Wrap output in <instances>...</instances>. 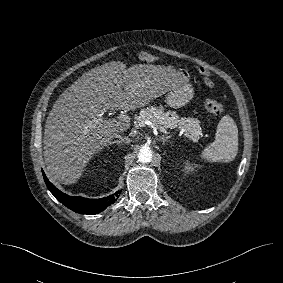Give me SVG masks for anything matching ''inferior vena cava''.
<instances>
[{"instance_id":"obj_1","label":"inferior vena cava","mask_w":283,"mask_h":283,"mask_svg":"<svg viewBox=\"0 0 283 283\" xmlns=\"http://www.w3.org/2000/svg\"><path fill=\"white\" fill-rule=\"evenodd\" d=\"M115 137L119 138L121 140V142H126V143H130L131 142L130 138H128L126 136H122L120 134H116Z\"/></svg>"}]
</instances>
